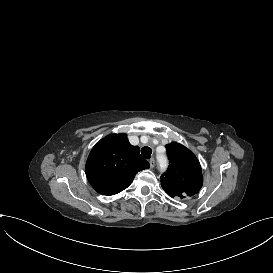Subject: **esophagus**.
Returning <instances> with one entry per match:
<instances>
[{
	"label": "esophagus",
	"instance_id": "34e87169",
	"mask_svg": "<svg viewBox=\"0 0 273 273\" xmlns=\"http://www.w3.org/2000/svg\"><path fill=\"white\" fill-rule=\"evenodd\" d=\"M149 163H150V168H153L155 166V159L151 158Z\"/></svg>",
	"mask_w": 273,
	"mask_h": 273
}]
</instances>
